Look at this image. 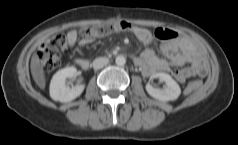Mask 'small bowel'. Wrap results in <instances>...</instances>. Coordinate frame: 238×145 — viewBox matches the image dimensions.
<instances>
[{"label": "small bowel", "instance_id": "c3829d8e", "mask_svg": "<svg viewBox=\"0 0 238 145\" xmlns=\"http://www.w3.org/2000/svg\"><path fill=\"white\" fill-rule=\"evenodd\" d=\"M131 32L147 47L139 56L134 58V63L141 68L145 76L168 72L172 66H182L184 64L188 66L173 72L180 83L185 82L191 76L206 75L207 67L200 53L189 42L171 40L175 36L172 31L162 27H155L150 32L146 28L134 26ZM153 39L157 41L168 39L162 44V50L166 53H175L174 56L170 60L159 57L149 47ZM68 40L71 44H75L77 41L76 33L70 32ZM78 64L84 67L87 62L79 60Z\"/></svg>", "mask_w": 238, "mask_h": 145}]
</instances>
